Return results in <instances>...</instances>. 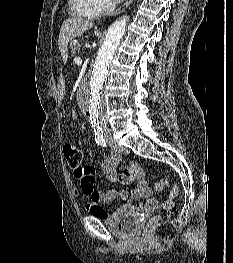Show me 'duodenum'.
Instances as JSON below:
<instances>
[{"label":"duodenum","mask_w":233,"mask_h":263,"mask_svg":"<svg viewBox=\"0 0 233 263\" xmlns=\"http://www.w3.org/2000/svg\"><path fill=\"white\" fill-rule=\"evenodd\" d=\"M80 82L81 83H88L89 82V75L87 73H80Z\"/></svg>","instance_id":"1"}]
</instances>
